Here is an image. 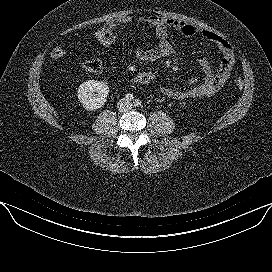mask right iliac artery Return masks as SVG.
Returning <instances> with one entry per match:
<instances>
[{"mask_svg":"<svg viewBox=\"0 0 272 272\" xmlns=\"http://www.w3.org/2000/svg\"><path fill=\"white\" fill-rule=\"evenodd\" d=\"M124 99H125L126 101H132V100H133V95L130 94V93H128V94L125 95Z\"/></svg>","mask_w":272,"mask_h":272,"instance_id":"obj_1","label":"right iliac artery"}]
</instances>
